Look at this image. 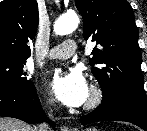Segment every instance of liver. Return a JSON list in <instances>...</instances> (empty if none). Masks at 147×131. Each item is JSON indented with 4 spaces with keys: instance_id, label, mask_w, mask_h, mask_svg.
<instances>
[{
    "instance_id": "liver-1",
    "label": "liver",
    "mask_w": 147,
    "mask_h": 131,
    "mask_svg": "<svg viewBox=\"0 0 147 131\" xmlns=\"http://www.w3.org/2000/svg\"><path fill=\"white\" fill-rule=\"evenodd\" d=\"M0 131H35V129L21 120L0 117Z\"/></svg>"
}]
</instances>
